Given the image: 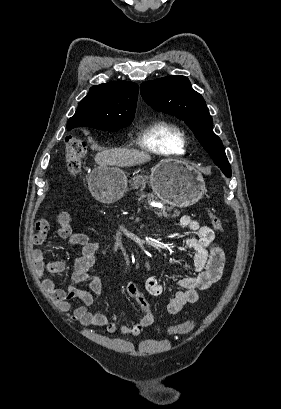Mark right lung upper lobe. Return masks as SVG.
<instances>
[{"instance_id":"right-lung-upper-lobe-1","label":"right lung upper lobe","mask_w":281,"mask_h":409,"mask_svg":"<svg viewBox=\"0 0 281 409\" xmlns=\"http://www.w3.org/2000/svg\"><path fill=\"white\" fill-rule=\"evenodd\" d=\"M138 85L127 81L93 86L76 113L67 122L70 130L82 126H116L131 124L134 119Z\"/></svg>"}]
</instances>
